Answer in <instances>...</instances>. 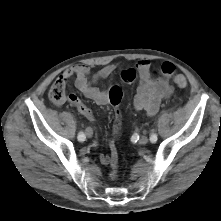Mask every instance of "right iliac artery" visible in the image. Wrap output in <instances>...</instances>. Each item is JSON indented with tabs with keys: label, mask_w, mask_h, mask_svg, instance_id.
Listing matches in <instances>:
<instances>
[{
	"label": "right iliac artery",
	"mask_w": 221,
	"mask_h": 221,
	"mask_svg": "<svg viewBox=\"0 0 221 221\" xmlns=\"http://www.w3.org/2000/svg\"><path fill=\"white\" fill-rule=\"evenodd\" d=\"M78 140L80 141V142H83V141H85V139H86V137H85V134L83 133V132H80L79 134H78Z\"/></svg>",
	"instance_id": "right-iliac-artery-1"
}]
</instances>
